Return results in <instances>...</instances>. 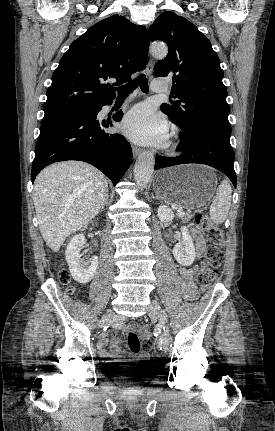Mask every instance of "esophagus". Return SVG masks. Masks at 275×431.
<instances>
[{
	"instance_id": "obj_1",
	"label": "esophagus",
	"mask_w": 275,
	"mask_h": 431,
	"mask_svg": "<svg viewBox=\"0 0 275 431\" xmlns=\"http://www.w3.org/2000/svg\"><path fill=\"white\" fill-rule=\"evenodd\" d=\"M153 66H154V62H153V60H152V58H149V60H148V63H147V66H146V74L148 75V76H150L151 75V73H152V71H153ZM132 152H133V157L134 158H136L139 154H140V152H141V149L140 148H138V147H133L132 148Z\"/></svg>"
}]
</instances>
